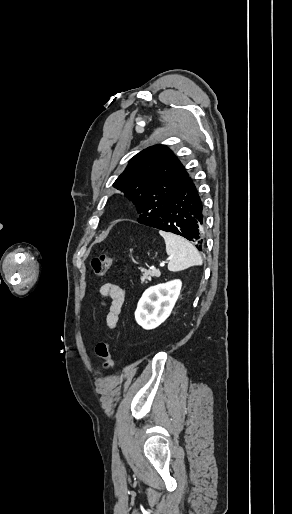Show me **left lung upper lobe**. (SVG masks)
Segmentation results:
<instances>
[{
  "label": "left lung upper lobe",
  "instance_id": "obj_1",
  "mask_svg": "<svg viewBox=\"0 0 292 514\" xmlns=\"http://www.w3.org/2000/svg\"><path fill=\"white\" fill-rule=\"evenodd\" d=\"M188 176L172 150L158 144L136 154L113 187L134 202L139 214L137 221L145 225L161 213Z\"/></svg>",
  "mask_w": 292,
  "mask_h": 514
}]
</instances>
